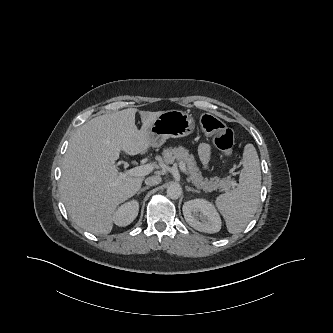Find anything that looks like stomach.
Segmentation results:
<instances>
[{
    "mask_svg": "<svg viewBox=\"0 0 333 333\" xmlns=\"http://www.w3.org/2000/svg\"><path fill=\"white\" fill-rule=\"evenodd\" d=\"M193 117L180 110L163 111L148 127L152 147H160L168 138L185 137L193 133Z\"/></svg>",
    "mask_w": 333,
    "mask_h": 333,
    "instance_id": "obj_1",
    "label": "stomach"
}]
</instances>
